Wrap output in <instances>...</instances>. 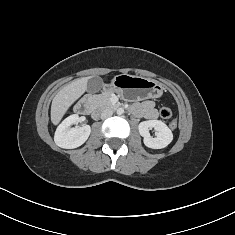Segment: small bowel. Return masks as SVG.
Returning <instances> with one entry per match:
<instances>
[{
  "label": "small bowel",
  "mask_w": 235,
  "mask_h": 235,
  "mask_svg": "<svg viewBox=\"0 0 235 235\" xmlns=\"http://www.w3.org/2000/svg\"><path fill=\"white\" fill-rule=\"evenodd\" d=\"M133 113L136 116L144 117L148 120H153L157 117V111L154 107V103L150 100L136 103L133 106Z\"/></svg>",
  "instance_id": "c3829d8e"
}]
</instances>
